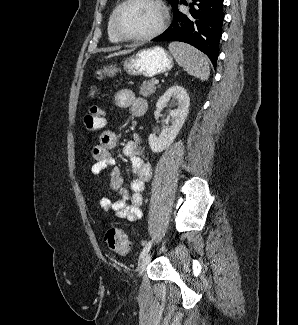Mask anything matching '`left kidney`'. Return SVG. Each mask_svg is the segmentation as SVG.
Listing matches in <instances>:
<instances>
[{"label":"left kidney","mask_w":298,"mask_h":325,"mask_svg":"<svg viewBox=\"0 0 298 325\" xmlns=\"http://www.w3.org/2000/svg\"><path fill=\"white\" fill-rule=\"evenodd\" d=\"M170 98H175L177 108L169 110L168 118H166V124L171 122V126H163L159 136H156L155 132L149 134V146L153 152H162V150L170 146L171 142L176 138L180 128H182L189 112L190 96L187 90H185L183 86H179V84L170 86V88H167V90L163 92L162 96H159L156 102V110L161 112V110L167 106V102Z\"/></svg>","instance_id":"left-kidney-1"}]
</instances>
